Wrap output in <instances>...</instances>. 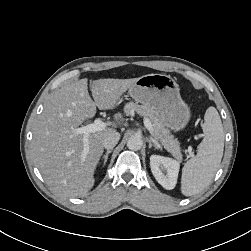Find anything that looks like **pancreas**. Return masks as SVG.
<instances>
[{"label":"pancreas","instance_id":"1","mask_svg":"<svg viewBox=\"0 0 251 251\" xmlns=\"http://www.w3.org/2000/svg\"><path fill=\"white\" fill-rule=\"evenodd\" d=\"M136 111L139 115L149 119L152 124V136L159 142L168 152H170L176 159L181 160V149L177 138H175L168 128L162 122L160 113L153 107L146 105H139L134 102H129L124 107L126 115H131Z\"/></svg>","mask_w":251,"mask_h":251}]
</instances>
